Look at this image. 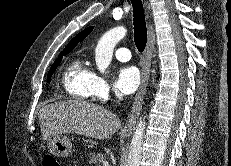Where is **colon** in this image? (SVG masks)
Instances as JSON below:
<instances>
[{"mask_svg": "<svg viewBox=\"0 0 231 166\" xmlns=\"http://www.w3.org/2000/svg\"><path fill=\"white\" fill-rule=\"evenodd\" d=\"M43 166H60V164L54 156L46 155L43 159Z\"/></svg>", "mask_w": 231, "mask_h": 166, "instance_id": "1", "label": "colon"}]
</instances>
